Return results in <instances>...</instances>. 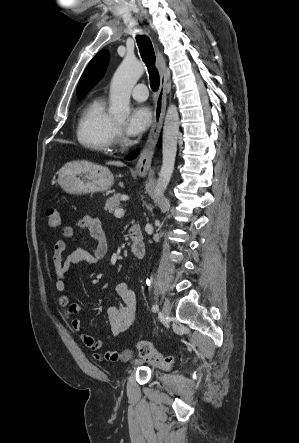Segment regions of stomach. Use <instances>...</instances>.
Returning a JSON list of instances; mask_svg holds the SVG:
<instances>
[{
	"label": "stomach",
	"instance_id": "obj_1",
	"mask_svg": "<svg viewBox=\"0 0 299 443\" xmlns=\"http://www.w3.org/2000/svg\"><path fill=\"white\" fill-rule=\"evenodd\" d=\"M144 177L145 173H139ZM59 186L69 194H87L104 192L114 183L113 174L103 166L87 162H71L58 172Z\"/></svg>",
	"mask_w": 299,
	"mask_h": 443
}]
</instances>
